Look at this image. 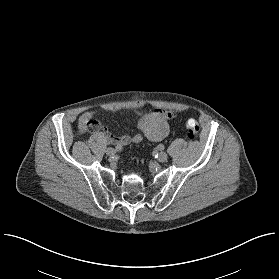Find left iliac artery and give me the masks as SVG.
Returning a JSON list of instances; mask_svg holds the SVG:
<instances>
[{
    "label": "left iliac artery",
    "mask_w": 279,
    "mask_h": 279,
    "mask_svg": "<svg viewBox=\"0 0 279 279\" xmlns=\"http://www.w3.org/2000/svg\"><path fill=\"white\" fill-rule=\"evenodd\" d=\"M158 148H159L160 150H164V145H163V144H159V145H158Z\"/></svg>",
    "instance_id": "obj_1"
}]
</instances>
